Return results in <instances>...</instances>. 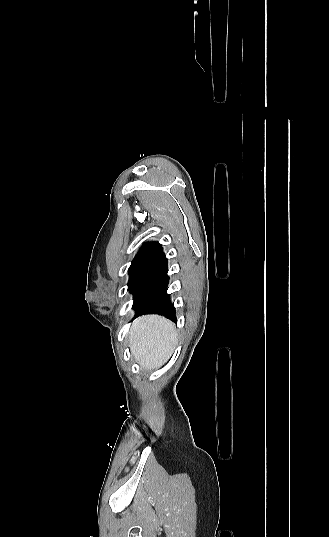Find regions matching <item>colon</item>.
I'll return each mask as SVG.
<instances>
[{
    "instance_id": "colon-1",
    "label": "colon",
    "mask_w": 329,
    "mask_h": 537,
    "mask_svg": "<svg viewBox=\"0 0 329 537\" xmlns=\"http://www.w3.org/2000/svg\"><path fill=\"white\" fill-rule=\"evenodd\" d=\"M136 456H137V453L134 454L133 458H136Z\"/></svg>"
}]
</instances>
